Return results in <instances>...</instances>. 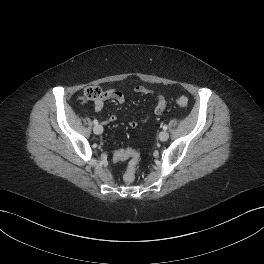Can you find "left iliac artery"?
<instances>
[{
	"label": "left iliac artery",
	"instance_id": "1",
	"mask_svg": "<svg viewBox=\"0 0 264 264\" xmlns=\"http://www.w3.org/2000/svg\"><path fill=\"white\" fill-rule=\"evenodd\" d=\"M167 128H168L167 125H164V126H163V129H164V130H167Z\"/></svg>",
	"mask_w": 264,
	"mask_h": 264
}]
</instances>
